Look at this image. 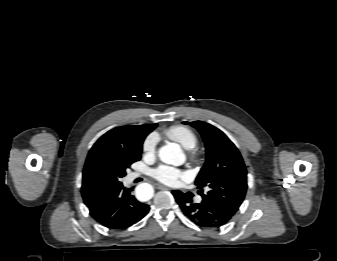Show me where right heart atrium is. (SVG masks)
Here are the masks:
<instances>
[{"label": "right heart atrium", "instance_id": "right-heart-atrium-1", "mask_svg": "<svg viewBox=\"0 0 337 261\" xmlns=\"http://www.w3.org/2000/svg\"><path fill=\"white\" fill-rule=\"evenodd\" d=\"M157 137L154 134L149 135L143 143V152L146 155L153 156L156 152Z\"/></svg>", "mask_w": 337, "mask_h": 261}]
</instances>
